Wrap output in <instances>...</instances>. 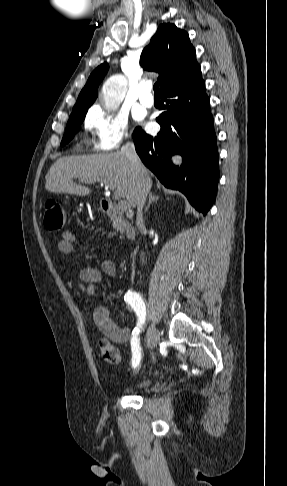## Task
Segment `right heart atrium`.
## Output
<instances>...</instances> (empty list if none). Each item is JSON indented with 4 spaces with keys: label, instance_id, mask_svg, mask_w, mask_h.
<instances>
[{
    "label": "right heart atrium",
    "instance_id": "1",
    "mask_svg": "<svg viewBox=\"0 0 287 486\" xmlns=\"http://www.w3.org/2000/svg\"><path fill=\"white\" fill-rule=\"evenodd\" d=\"M84 127L91 132V147L96 151H113L130 136L128 117L100 105L92 107L84 120Z\"/></svg>",
    "mask_w": 287,
    "mask_h": 486
}]
</instances>
